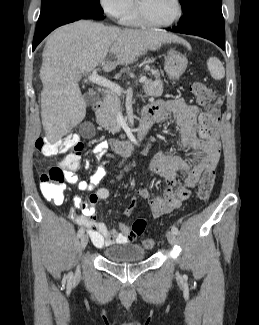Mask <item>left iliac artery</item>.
I'll return each instance as SVG.
<instances>
[{
	"label": "left iliac artery",
	"mask_w": 259,
	"mask_h": 325,
	"mask_svg": "<svg viewBox=\"0 0 259 325\" xmlns=\"http://www.w3.org/2000/svg\"><path fill=\"white\" fill-rule=\"evenodd\" d=\"M171 230H172L173 233L176 234V235L179 233V230H178V228H177L175 225H173V226L171 227Z\"/></svg>",
	"instance_id": "left-iliac-artery-1"
}]
</instances>
